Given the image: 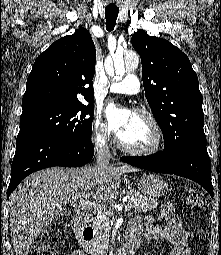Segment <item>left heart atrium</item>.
Masks as SVG:
<instances>
[{
	"label": "left heart atrium",
	"instance_id": "1",
	"mask_svg": "<svg viewBox=\"0 0 221 255\" xmlns=\"http://www.w3.org/2000/svg\"><path fill=\"white\" fill-rule=\"evenodd\" d=\"M132 117L131 111L115 105H109L106 109V118L109 129L119 135L129 124Z\"/></svg>",
	"mask_w": 221,
	"mask_h": 255
}]
</instances>
